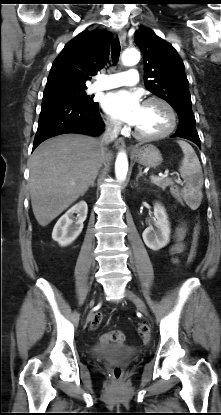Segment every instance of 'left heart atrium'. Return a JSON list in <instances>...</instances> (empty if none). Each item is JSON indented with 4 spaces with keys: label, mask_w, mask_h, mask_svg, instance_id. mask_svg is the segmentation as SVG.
Here are the masks:
<instances>
[{
    "label": "left heart atrium",
    "mask_w": 221,
    "mask_h": 415,
    "mask_svg": "<svg viewBox=\"0 0 221 415\" xmlns=\"http://www.w3.org/2000/svg\"><path fill=\"white\" fill-rule=\"evenodd\" d=\"M142 106L140 96L129 91L110 93L103 101L104 110L108 115L134 126L139 120Z\"/></svg>",
    "instance_id": "obj_1"
}]
</instances>
